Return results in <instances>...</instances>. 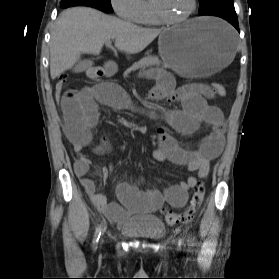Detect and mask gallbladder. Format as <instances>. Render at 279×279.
<instances>
[{"label": "gallbladder", "instance_id": "1", "mask_svg": "<svg viewBox=\"0 0 279 279\" xmlns=\"http://www.w3.org/2000/svg\"><path fill=\"white\" fill-rule=\"evenodd\" d=\"M90 67V62L87 60L79 62L73 69L75 73H80L87 70Z\"/></svg>", "mask_w": 279, "mask_h": 279}]
</instances>
